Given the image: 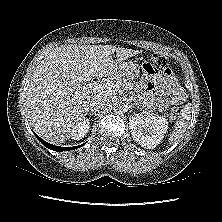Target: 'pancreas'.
Returning a JSON list of instances; mask_svg holds the SVG:
<instances>
[{
  "label": "pancreas",
  "instance_id": "cf45deb5",
  "mask_svg": "<svg viewBox=\"0 0 222 222\" xmlns=\"http://www.w3.org/2000/svg\"><path fill=\"white\" fill-rule=\"evenodd\" d=\"M107 82L119 84V86H122V85H124L125 80L121 76L116 74V75H112L111 77H109Z\"/></svg>",
  "mask_w": 222,
  "mask_h": 222
}]
</instances>
